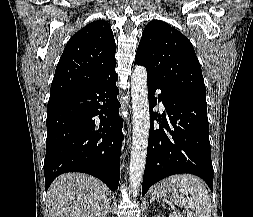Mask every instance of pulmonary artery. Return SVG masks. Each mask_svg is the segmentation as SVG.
<instances>
[{"label":"pulmonary artery","mask_w":253,"mask_h":217,"mask_svg":"<svg viewBox=\"0 0 253 217\" xmlns=\"http://www.w3.org/2000/svg\"><path fill=\"white\" fill-rule=\"evenodd\" d=\"M158 93H160V90H158ZM162 105V103H160Z\"/></svg>","instance_id":"pulmonary-artery-1"}]
</instances>
